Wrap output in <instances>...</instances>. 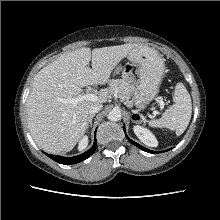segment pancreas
I'll list each match as a JSON object with an SVG mask.
<instances>
[{
  "label": "pancreas",
  "mask_w": 220,
  "mask_h": 220,
  "mask_svg": "<svg viewBox=\"0 0 220 220\" xmlns=\"http://www.w3.org/2000/svg\"><path fill=\"white\" fill-rule=\"evenodd\" d=\"M133 91V86L124 79H116L110 82L109 92L117 94L122 102L131 105L129 100Z\"/></svg>",
  "instance_id": "1"
}]
</instances>
